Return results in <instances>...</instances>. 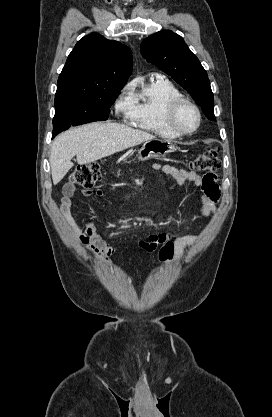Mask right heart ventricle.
Instances as JSON below:
<instances>
[{
    "instance_id": "e07e8e85",
    "label": "right heart ventricle",
    "mask_w": 272,
    "mask_h": 417,
    "mask_svg": "<svg viewBox=\"0 0 272 417\" xmlns=\"http://www.w3.org/2000/svg\"><path fill=\"white\" fill-rule=\"evenodd\" d=\"M177 97H182V93L164 77L157 76L141 84L131 97L130 124L162 138H177L165 123L166 107Z\"/></svg>"
}]
</instances>
